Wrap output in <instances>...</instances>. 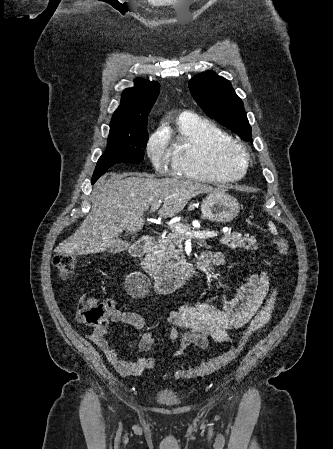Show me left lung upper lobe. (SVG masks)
Segmentation results:
<instances>
[{"instance_id":"1","label":"left lung upper lobe","mask_w":333,"mask_h":449,"mask_svg":"<svg viewBox=\"0 0 333 449\" xmlns=\"http://www.w3.org/2000/svg\"><path fill=\"white\" fill-rule=\"evenodd\" d=\"M189 89L198 105L211 118L250 141L249 125L243 102L235 94L231 83L213 71L200 73L189 81Z\"/></svg>"}]
</instances>
